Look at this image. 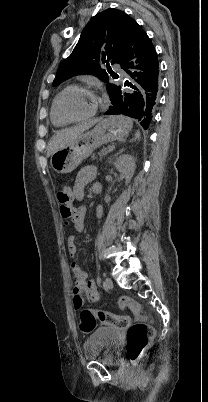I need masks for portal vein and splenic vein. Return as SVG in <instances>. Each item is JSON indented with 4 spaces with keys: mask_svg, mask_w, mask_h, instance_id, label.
<instances>
[{
    "mask_svg": "<svg viewBox=\"0 0 208 402\" xmlns=\"http://www.w3.org/2000/svg\"><path fill=\"white\" fill-rule=\"evenodd\" d=\"M108 148H110L108 149V152H112V150H114V146L108 145Z\"/></svg>",
    "mask_w": 208,
    "mask_h": 402,
    "instance_id": "1",
    "label": "portal vein and splenic vein"
}]
</instances>
